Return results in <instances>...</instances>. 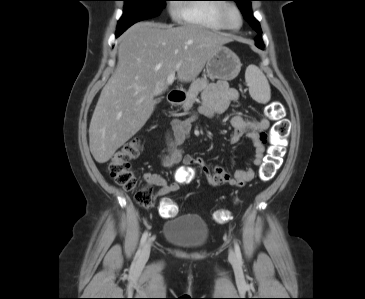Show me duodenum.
<instances>
[{"mask_svg": "<svg viewBox=\"0 0 365 299\" xmlns=\"http://www.w3.org/2000/svg\"><path fill=\"white\" fill-rule=\"evenodd\" d=\"M186 91L183 89H175L169 92L168 101L173 105H180L186 99Z\"/></svg>", "mask_w": 365, "mask_h": 299, "instance_id": "1", "label": "duodenum"}]
</instances>
